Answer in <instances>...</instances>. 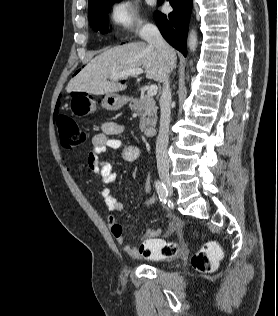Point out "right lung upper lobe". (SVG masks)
<instances>
[{
    "mask_svg": "<svg viewBox=\"0 0 278 316\" xmlns=\"http://www.w3.org/2000/svg\"><path fill=\"white\" fill-rule=\"evenodd\" d=\"M106 0H89V6L88 9H92L94 6H96L97 4H99L100 2H103Z\"/></svg>",
    "mask_w": 278,
    "mask_h": 316,
    "instance_id": "cb5924a9",
    "label": "right lung upper lobe"
}]
</instances>
